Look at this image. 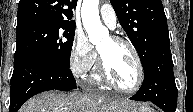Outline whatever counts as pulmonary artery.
Instances as JSON below:
<instances>
[{
  "instance_id": "1",
  "label": "pulmonary artery",
  "mask_w": 193,
  "mask_h": 112,
  "mask_svg": "<svg viewBox=\"0 0 193 112\" xmlns=\"http://www.w3.org/2000/svg\"><path fill=\"white\" fill-rule=\"evenodd\" d=\"M100 17L106 26H108L110 29H115L117 16L110 4L106 3L101 6Z\"/></svg>"
}]
</instances>
